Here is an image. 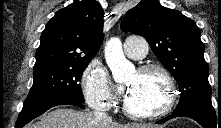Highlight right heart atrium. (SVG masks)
Returning <instances> with one entry per match:
<instances>
[{
  "label": "right heart atrium",
  "mask_w": 221,
  "mask_h": 128,
  "mask_svg": "<svg viewBox=\"0 0 221 128\" xmlns=\"http://www.w3.org/2000/svg\"><path fill=\"white\" fill-rule=\"evenodd\" d=\"M82 87L85 100L92 108L110 104V80L106 67L99 60H92L84 70Z\"/></svg>",
  "instance_id": "d8ad5b80"
}]
</instances>
